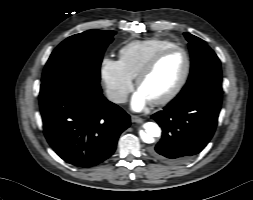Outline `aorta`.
<instances>
[{"instance_id":"762f6f07","label":"aorta","mask_w":253,"mask_h":200,"mask_svg":"<svg viewBox=\"0 0 253 200\" xmlns=\"http://www.w3.org/2000/svg\"><path fill=\"white\" fill-rule=\"evenodd\" d=\"M143 127L145 132H140V137L145 143H153V137H158L161 134V129L156 123L147 122Z\"/></svg>"}]
</instances>
